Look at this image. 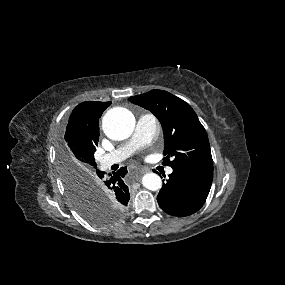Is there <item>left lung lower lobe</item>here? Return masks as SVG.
Instances as JSON below:
<instances>
[{"label":"left lung lower lobe","instance_id":"obj_1","mask_svg":"<svg viewBox=\"0 0 285 285\" xmlns=\"http://www.w3.org/2000/svg\"><path fill=\"white\" fill-rule=\"evenodd\" d=\"M212 180L213 173L173 169L157 196L158 204L170 215H191L205 203Z\"/></svg>","mask_w":285,"mask_h":285}]
</instances>
